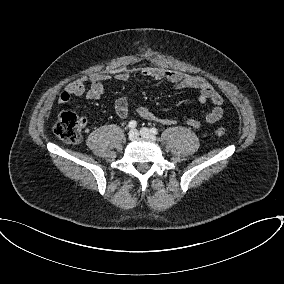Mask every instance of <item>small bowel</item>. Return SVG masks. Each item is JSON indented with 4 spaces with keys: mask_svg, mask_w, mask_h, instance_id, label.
Returning a JSON list of instances; mask_svg holds the SVG:
<instances>
[{
    "mask_svg": "<svg viewBox=\"0 0 284 284\" xmlns=\"http://www.w3.org/2000/svg\"><path fill=\"white\" fill-rule=\"evenodd\" d=\"M141 74L144 77L165 80L178 89H195L199 92L198 102L205 104L210 102L212 104L211 110L203 118H190L188 125L197 129L203 123H215L223 116L222 105L224 99L219 92L203 77L182 73L175 70H166L146 66L141 69ZM117 79L122 82H128L131 78L130 72L125 69H118L113 73L95 72L89 75L82 76L70 83H68L63 91L58 96V103L60 105L67 104L73 96L84 95L87 99H100L105 92V82L108 79ZM115 111L120 118H125L128 115V101L125 97H119L115 102ZM139 116L145 120L157 121L163 125H174L175 120L171 118H159L149 108L140 107L137 110ZM87 123L84 117L80 118L81 126Z\"/></svg>",
    "mask_w": 284,
    "mask_h": 284,
    "instance_id": "c3829d8e",
    "label": "small bowel"
}]
</instances>
